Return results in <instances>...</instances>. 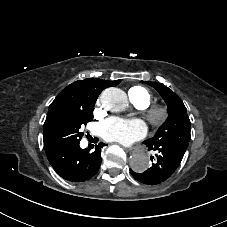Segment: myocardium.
<instances>
[{
	"mask_svg": "<svg viewBox=\"0 0 227 227\" xmlns=\"http://www.w3.org/2000/svg\"><path fill=\"white\" fill-rule=\"evenodd\" d=\"M144 112L148 122L155 127L165 125L171 117L170 108L160 103L148 104Z\"/></svg>",
	"mask_w": 227,
	"mask_h": 227,
	"instance_id": "obj_1",
	"label": "myocardium"
}]
</instances>
